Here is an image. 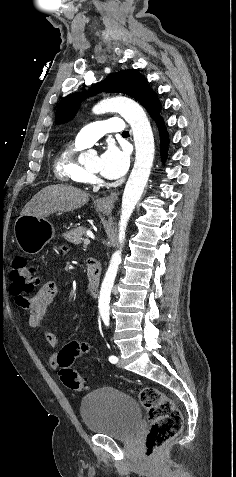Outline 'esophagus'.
<instances>
[{"label": "esophagus", "mask_w": 236, "mask_h": 477, "mask_svg": "<svg viewBox=\"0 0 236 477\" xmlns=\"http://www.w3.org/2000/svg\"><path fill=\"white\" fill-rule=\"evenodd\" d=\"M118 199V192H112L108 196L97 199V203L101 208L111 210L114 207V203Z\"/></svg>", "instance_id": "esophagus-1"}]
</instances>
